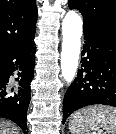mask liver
Instances as JSON below:
<instances>
[{
    "label": "liver",
    "mask_w": 116,
    "mask_h": 134,
    "mask_svg": "<svg viewBox=\"0 0 116 134\" xmlns=\"http://www.w3.org/2000/svg\"><path fill=\"white\" fill-rule=\"evenodd\" d=\"M0 134H19V128L5 121H0Z\"/></svg>",
    "instance_id": "6515ba94"
}]
</instances>
